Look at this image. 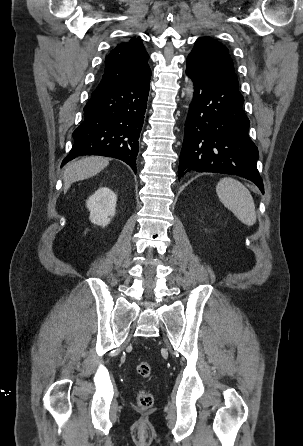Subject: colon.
Returning <instances> with one entry per match:
<instances>
[{
	"mask_svg": "<svg viewBox=\"0 0 303 446\" xmlns=\"http://www.w3.org/2000/svg\"><path fill=\"white\" fill-rule=\"evenodd\" d=\"M137 373L143 377L148 378L151 374V366L149 362L142 361L137 365ZM137 403L141 408L148 409L154 403L153 395L146 390H142L137 395Z\"/></svg>",
	"mask_w": 303,
	"mask_h": 446,
	"instance_id": "5ec220e1",
	"label": "colon"
}]
</instances>
